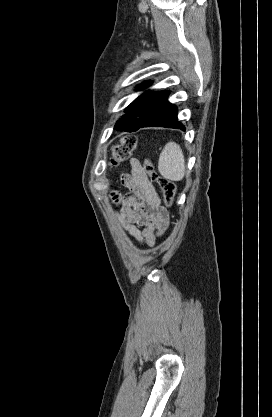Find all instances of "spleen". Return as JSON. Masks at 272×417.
<instances>
[{"label": "spleen", "mask_w": 272, "mask_h": 417, "mask_svg": "<svg viewBox=\"0 0 272 417\" xmlns=\"http://www.w3.org/2000/svg\"><path fill=\"white\" fill-rule=\"evenodd\" d=\"M160 174L171 181H180L185 174V159L181 147L168 142L160 154L158 162Z\"/></svg>", "instance_id": "1"}]
</instances>
